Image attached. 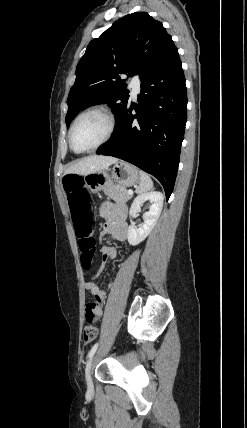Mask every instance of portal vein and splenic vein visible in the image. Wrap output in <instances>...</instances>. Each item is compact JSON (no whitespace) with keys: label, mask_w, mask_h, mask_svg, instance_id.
<instances>
[{"label":"portal vein and splenic vein","mask_w":247,"mask_h":428,"mask_svg":"<svg viewBox=\"0 0 247 428\" xmlns=\"http://www.w3.org/2000/svg\"><path fill=\"white\" fill-rule=\"evenodd\" d=\"M127 193H128L129 195H132V194H133V191H132V190H128V191H127Z\"/></svg>","instance_id":"obj_1"}]
</instances>
